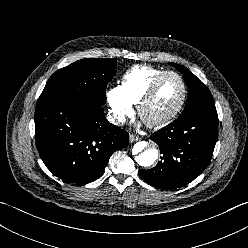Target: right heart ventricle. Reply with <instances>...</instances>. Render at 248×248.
Returning a JSON list of instances; mask_svg holds the SVG:
<instances>
[{
  "instance_id": "right-heart-ventricle-1",
  "label": "right heart ventricle",
  "mask_w": 248,
  "mask_h": 248,
  "mask_svg": "<svg viewBox=\"0 0 248 248\" xmlns=\"http://www.w3.org/2000/svg\"><path fill=\"white\" fill-rule=\"evenodd\" d=\"M164 72L151 66H134L123 75L120 87L132 104H139L154 79Z\"/></svg>"
}]
</instances>
